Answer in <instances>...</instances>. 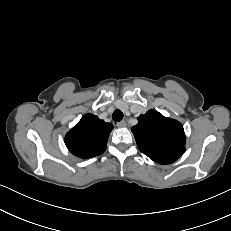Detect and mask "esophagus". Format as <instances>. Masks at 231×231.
<instances>
[{
    "instance_id": "1",
    "label": "esophagus",
    "mask_w": 231,
    "mask_h": 231,
    "mask_svg": "<svg viewBox=\"0 0 231 231\" xmlns=\"http://www.w3.org/2000/svg\"><path fill=\"white\" fill-rule=\"evenodd\" d=\"M117 127L121 128V127H125L126 126V122L125 121H121V122H118L116 124Z\"/></svg>"
}]
</instances>
